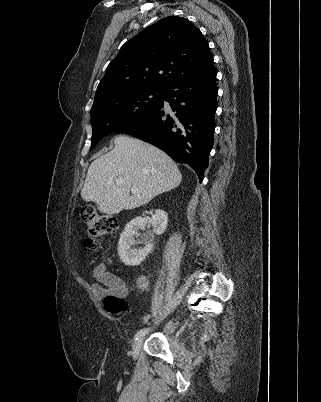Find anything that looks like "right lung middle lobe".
<instances>
[{
  "label": "right lung middle lobe",
  "mask_w": 321,
  "mask_h": 402,
  "mask_svg": "<svg viewBox=\"0 0 321 402\" xmlns=\"http://www.w3.org/2000/svg\"><path fill=\"white\" fill-rule=\"evenodd\" d=\"M165 89L149 88L109 97L91 108V149L107 134L157 110Z\"/></svg>",
  "instance_id": "obj_1"
}]
</instances>
